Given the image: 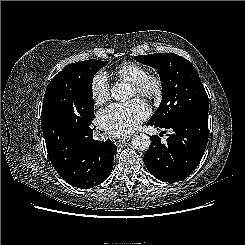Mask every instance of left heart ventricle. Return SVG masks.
Returning a JSON list of instances; mask_svg holds the SVG:
<instances>
[{
    "mask_svg": "<svg viewBox=\"0 0 245 245\" xmlns=\"http://www.w3.org/2000/svg\"><path fill=\"white\" fill-rule=\"evenodd\" d=\"M135 95H136L135 89H133L132 87H130V96H135Z\"/></svg>",
    "mask_w": 245,
    "mask_h": 245,
    "instance_id": "left-heart-ventricle-1",
    "label": "left heart ventricle"
}]
</instances>
